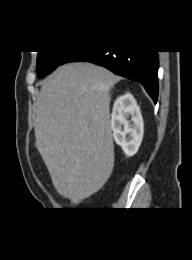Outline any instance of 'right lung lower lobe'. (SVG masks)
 <instances>
[{
	"instance_id": "right-lung-lower-lobe-1",
	"label": "right lung lower lobe",
	"mask_w": 192,
	"mask_h": 260,
	"mask_svg": "<svg viewBox=\"0 0 192 260\" xmlns=\"http://www.w3.org/2000/svg\"><path fill=\"white\" fill-rule=\"evenodd\" d=\"M86 61L108 68L115 74L140 82L154 103L158 98V51H77L62 61ZM61 64V65H62Z\"/></svg>"
}]
</instances>
